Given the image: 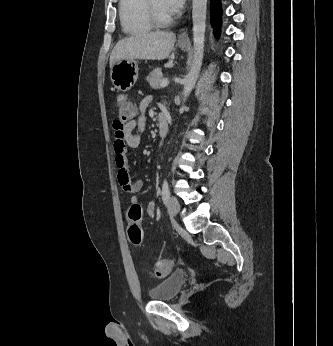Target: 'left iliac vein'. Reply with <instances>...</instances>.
Here are the masks:
<instances>
[{"instance_id": "left-iliac-vein-1", "label": "left iliac vein", "mask_w": 333, "mask_h": 346, "mask_svg": "<svg viewBox=\"0 0 333 346\" xmlns=\"http://www.w3.org/2000/svg\"><path fill=\"white\" fill-rule=\"evenodd\" d=\"M167 209L170 216H176L180 210V205L175 198L171 197L168 200Z\"/></svg>"}]
</instances>
